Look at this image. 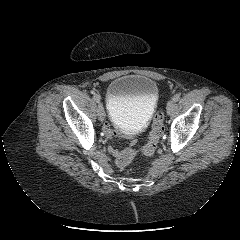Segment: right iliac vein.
I'll list each match as a JSON object with an SVG mask.
<instances>
[{
  "instance_id": "1",
  "label": "right iliac vein",
  "mask_w": 240,
  "mask_h": 240,
  "mask_svg": "<svg viewBox=\"0 0 240 240\" xmlns=\"http://www.w3.org/2000/svg\"><path fill=\"white\" fill-rule=\"evenodd\" d=\"M97 114H98V118L101 122H103L105 120V111H104V107L101 103L98 104L97 107Z\"/></svg>"
}]
</instances>
